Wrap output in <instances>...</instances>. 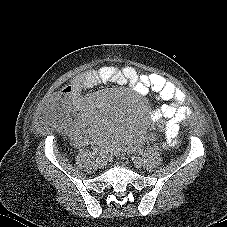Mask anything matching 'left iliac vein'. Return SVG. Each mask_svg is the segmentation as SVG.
Instances as JSON below:
<instances>
[{"instance_id": "left-iliac-vein-1", "label": "left iliac vein", "mask_w": 227, "mask_h": 227, "mask_svg": "<svg viewBox=\"0 0 227 227\" xmlns=\"http://www.w3.org/2000/svg\"><path fill=\"white\" fill-rule=\"evenodd\" d=\"M133 163H134V166H135V167L141 168L142 165H143V160H142V158H140V157H134V158H133Z\"/></svg>"}]
</instances>
